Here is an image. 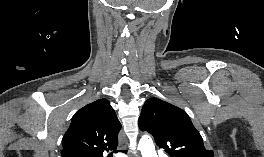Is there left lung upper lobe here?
I'll return each instance as SVG.
<instances>
[{
    "instance_id": "1",
    "label": "left lung upper lobe",
    "mask_w": 264,
    "mask_h": 157,
    "mask_svg": "<svg viewBox=\"0 0 264 157\" xmlns=\"http://www.w3.org/2000/svg\"><path fill=\"white\" fill-rule=\"evenodd\" d=\"M139 128L152 134L169 157H214L187 113L158 98H149L142 107Z\"/></svg>"
}]
</instances>
